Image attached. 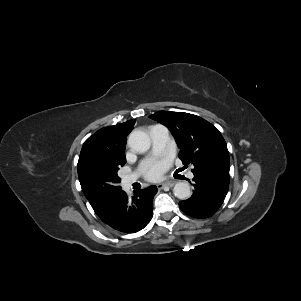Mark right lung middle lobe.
I'll list each match as a JSON object with an SVG mask.
<instances>
[{"label": "right lung middle lobe", "instance_id": "right-lung-middle-lobe-1", "mask_svg": "<svg viewBox=\"0 0 301 301\" xmlns=\"http://www.w3.org/2000/svg\"><path fill=\"white\" fill-rule=\"evenodd\" d=\"M126 163L124 156L89 152L78 161L82 191L93 209L106 211L122 192L117 171Z\"/></svg>", "mask_w": 301, "mask_h": 301}]
</instances>
